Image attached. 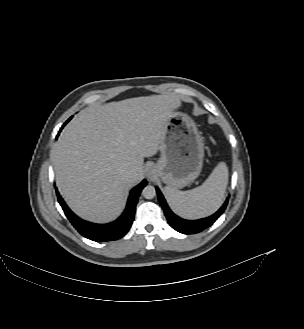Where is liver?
Listing matches in <instances>:
<instances>
[{"instance_id":"1","label":"liver","mask_w":304,"mask_h":329,"mask_svg":"<svg viewBox=\"0 0 304 329\" xmlns=\"http://www.w3.org/2000/svg\"><path fill=\"white\" fill-rule=\"evenodd\" d=\"M181 105L174 94L95 105L82 110L55 143L56 185L69 207L93 222L115 219L124 191L144 177V158L160 149L165 123ZM131 174L124 179L120 170Z\"/></svg>"}]
</instances>
